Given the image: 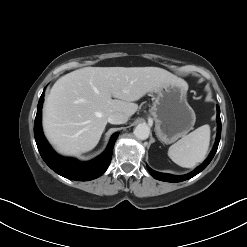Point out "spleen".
Listing matches in <instances>:
<instances>
[{"label":"spleen","instance_id":"obj_1","mask_svg":"<svg viewBox=\"0 0 247 247\" xmlns=\"http://www.w3.org/2000/svg\"><path fill=\"white\" fill-rule=\"evenodd\" d=\"M210 127L203 125L171 145L168 156L177 165L192 168L202 162L209 148Z\"/></svg>","mask_w":247,"mask_h":247}]
</instances>
